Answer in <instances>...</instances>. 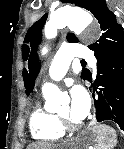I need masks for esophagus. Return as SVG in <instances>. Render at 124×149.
I'll list each match as a JSON object with an SVG mask.
<instances>
[{
  "instance_id": "34e87169",
  "label": "esophagus",
  "mask_w": 124,
  "mask_h": 149,
  "mask_svg": "<svg viewBox=\"0 0 124 149\" xmlns=\"http://www.w3.org/2000/svg\"><path fill=\"white\" fill-rule=\"evenodd\" d=\"M94 122H91L90 125H93Z\"/></svg>"
}]
</instances>
